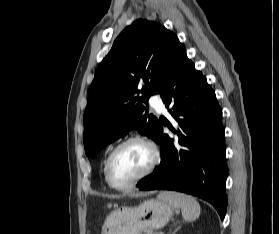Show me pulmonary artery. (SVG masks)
I'll use <instances>...</instances> for the list:
<instances>
[{
  "instance_id": "pulmonary-artery-1",
  "label": "pulmonary artery",
  "mask_w": 279,
  "mask_h": 234,
  "mask_svg": "<svg viewBox=\"0 0 279 234\" xmlns=\"http://www.w3.org/2000/svg\"><path fill=\"white\" fill-rule=\"evenodd\" d=\"M150 104L151 106L158 111L159 113H163L165 112V106L163 101L161 100L160 97H158L157 95H153L150 98Z\"/></svg>"
}]
</instances>
